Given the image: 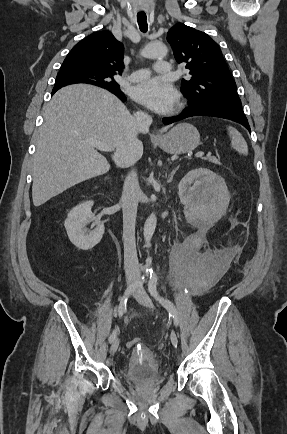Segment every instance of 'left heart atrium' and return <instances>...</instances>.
<instances>
[{
	"mask_svg": "<svg viewBox=\"0 0 287 434\" xmlns=\"http://www.w3.org/2000/svg\"><path fill=\"white\" fill-rule=\"evenodd\" d=\"M135 101L157 113H167L177 103V92L164 80L154 78L135 86L132 91Z\"/></svg>",
	"mask_w": 287,
	"mask_h": 434,
	"instance_id": "left-heart-atrium-1",
	"label": "left heart atrium"
}]
</instances>
